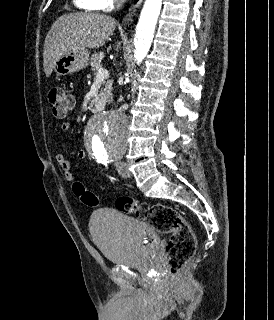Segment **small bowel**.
Here are the masks:
<instances>
[{
  "mask_svg": "<svg viewBox=\"0 0 274 320\" xmlns=\"http://www.w3.org/2000/svg\"><path fill=\"white\" fill-rule=\"evenodd\" d=\"M60 128L62 131H68L70 129V124L68 122H64L60 125ZM86 155L87 153L85 150H80L77 153V157L80 160L85 159ZM55 160L58 163L60 169L62 170L65 179L68 181H73L74 175L72 172V167L70 162L60 153L56 154Z\"/></svg>",
  "mask_w": 274,
  "mask_h": 320,
  "instance_id": "obj_1",
  "label": "small bowel"
}]
</instances>
